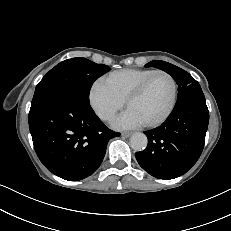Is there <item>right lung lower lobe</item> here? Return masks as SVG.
<instances>
[{
	"instance_id": "right-lung-lower-lobe-1",
	"label": "right lung lower lobe",
	"mask_w": 231,
	"mask_h": 231,
	"mask_svg": "<svg viewBox=\"0 0 231 231\" xmlns=\"http://www.w3.org/2000/svg\"><path fill=\"white\" fill-rule=\"evenodd\" d=\"M29 129L43 165L69 181L94 173L103 161L108 141L120 135L104 125L89 101L67 92L30 109Z\"/></svg>"
}]
</instances>
